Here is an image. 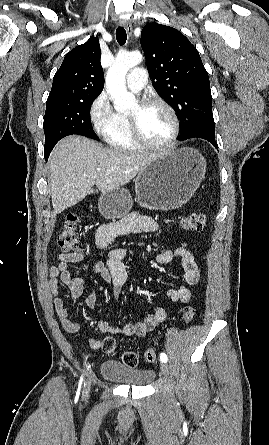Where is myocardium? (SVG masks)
Here are the masks:
<instances>
[{
    "instance_id": "1",
    "label": "myocardium",
    "mask_w": 269,
    "mask_h": 445,
    "mask_svg": "<svg viewBox=\"0 0 269 445\" xmlns=\"http://www.w3.org/2000/svg\"><path fill=\"white\" fill-rule=\"evenodd\" d=\"M150 105H159L163 107L168 112V114L172 119V124H173L172 133L169 136V138L161 144L150 143L145 139V137L141 132L140 121H139L140 112ZM137 106L138 108L136 111H131L128 114L131 133L136 143L144 149L157 152L165 151L168 148H170L177 140L180 132V121L173 107L165 100L154 96L146 97L139 100Z\"/></svg>"
}]
</instances>
